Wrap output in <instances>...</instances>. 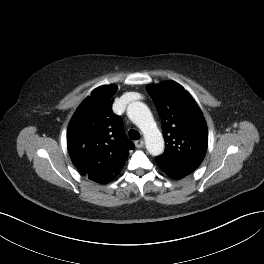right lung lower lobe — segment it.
I'll return each instance as SVG.
<instances>
[{"label":"right lung lower lobe","instance_id":"1","mask_svg":"<svg viewBox=\"0 0 264 264\" xmlns=\"http://www.w3.org/2000/svg\"><path fill=\"white\" fill-rule=\"evenodd\" d=\"M82 174L86 176L87 178H89L90 180L95 181L100 184H106L112 181L117 176L115 175L113 177H107L97 171H92V172H87V173H82Z\"/></svg>","mask_w":264,"mask_h":264}]
</instances>
